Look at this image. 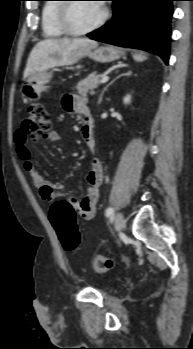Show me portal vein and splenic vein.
Listing matches in <instances>:
<instances>
[{
	"mask_svg": "<svg viewBox=\"0 0 193 349\" xmlns=\"http://www.w3.org/2000/svg\"><path fill=\"white\" fill-rule=\"evenodd\" d=\"M109 80V77L108 76H104V77H102V79H101V83H105V82H107Z\"/></svg>",
	"mask_w": 193,
	"mask_h": 349,
	"instance_id": "obj_1",
	"label": "portal vein and splenic vein"
}]
</instances>
